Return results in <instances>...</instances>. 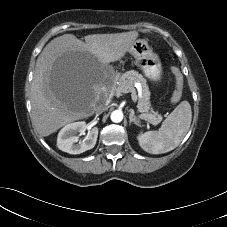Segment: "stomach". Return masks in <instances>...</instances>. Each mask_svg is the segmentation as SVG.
Returning <instances> with one entry per match:
<instances>
[{
    "label": "stomach",
    "mask_w": 227,
    "mask_h": 227,
    "mask_svg": "<svg viewBox=\"0 0 227 227\" xmlns=\"http://www.w3.org/2000/svg\"><path fill=\"white\" fill-rule=\"evenodd\" d=\"M128 52L134 57L135 65L143 71L148 79L155 82L161 80V61L145 39H137Z\"/></svg>",
    "instance_id": "0dacf381"
}]
</instances>
